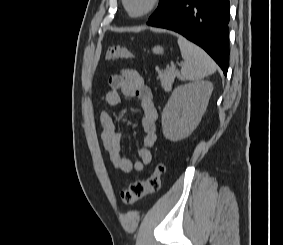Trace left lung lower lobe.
Masks as SVG:
<instances>
[{
    "instance_id": "1",
    "label": "left lung lower lobe",
    "mask_w": 283,
    "mask_h": 245,
    "mask_svg": "<svg viewBox=\"0 0 283 245\" xmlns=\"http://www.w3.org/2000/svg\"><path fill=\"white\" fill-rule=\"evenodd\" d=\"M229 0H173L147 25L180 33L202 47L227 74Z\"/></svg>"
}]
</instances>
